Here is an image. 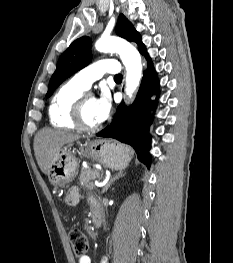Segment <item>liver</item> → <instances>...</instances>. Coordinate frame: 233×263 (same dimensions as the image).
Returning <instances> with one entry per match:
<instances>
[{
  "label": "liver",
  "instance_id": "liver-1",
  "mask_svg": "<svg viewBox=\"0 0 233 263\" xmlns=\"http://www.w3.org/2000/svg\"><path fill=\"white\" fill-rule=\"evenodd\" d=\"M80 138V135L64 130L49 128L40 130L34 138V152L41 171L47 174L53 158L57 156L61 147Z\"/></svg>",
  "mask_w": 233,
  "mask_h": 263
}]
</instances>
